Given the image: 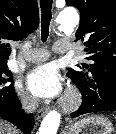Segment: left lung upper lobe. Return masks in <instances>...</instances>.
<instances>
[{
  "label": "left lung upper lobe",
  "instance_id": "left-lung-upper-lobe-1",
  "mask_svg": "<svg viewBox=\"0 0 116 134\" xmlns=\"http://www.w3.org/2000/svg\"><path fill=\"white\" fill-rule=\"evenodd\" d=\"M80 11L76 40L84 41L89 64L68 68L82 96L91 99L116 92V0H66Z\"/></svg>",
  "mask_w": 116,
  "mask_h": 134
}]
</instances>
